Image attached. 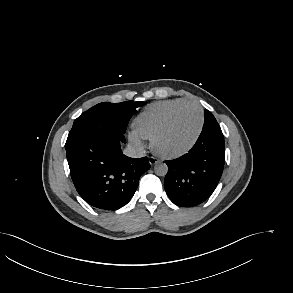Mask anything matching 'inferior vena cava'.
<instances>
[{
	"mask_svg": "<svg viewBox=\"0 0 293 293\" xmlns=\"http://www.w3.org/2000/svg\"><path fill=\"white\" fill-rule=\"evenodd\" d=\"M145 149L141 144H130L124 149V154L132 158H141L145 156Z\"/></svg>",
	"mask_w": 293,
	"mask_h": 293,
	"instance_id": "602c4592",
	"label": "inferior vena cava"
}]
</instances>
